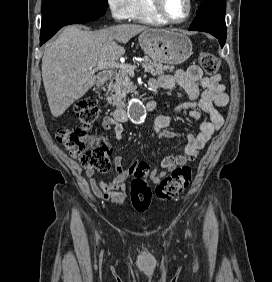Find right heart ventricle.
Listing matches in <instances>:
<instances>
[{
    "mask_svg": "<svg viewBox=\"0 0 272 282\" xmlns=\"http://www.w3.org/2000/svg\"><path fill=\"white\" fill-rule=\"evenodd\" d=\"M138 12L131 19L152 25H164L167 22L161 19L151 8L150 0H137Z\"/></svg>",
    "mask_w": 272,
    "mask_h": 282,
    "instance_id": "e07e8e85",
    "label": "right heart ventricle"
}]
</instances>
